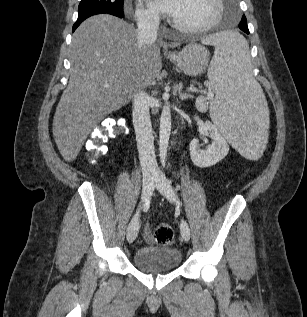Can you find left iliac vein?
<instances>
[{
    "instance_id": "left-iliac-vein-1",
    "label": "left iliac vein",
    "mask_w": 307,
    "mask_h": 317,
    "mask_svg": "<svg viewBox=\"0 0 307 317\" xmlns=\"http://www.w3.org/2000/svg\"><path fill=\"white\" fill-rule=\"evenodd\" d=\"M156 188L168 201L172 203L175 202V193L173 191V188L169 180L162 173H159L156 177ZM180 231H181L182 238L185 241H189L191 233H190L189 225L185 220L181 221Z\"/></svg>"
}]
</instances>
